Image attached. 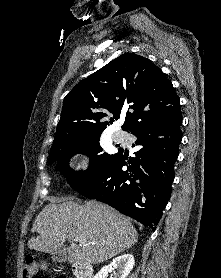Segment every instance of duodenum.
Wrapping results in <instances>:
<instances>
[{
  "label": "duodenum",
  "instance_id": "410a0bca",
  "mask_svg": "<svg viewBox=\"0 0 221 278\" xmlns=\"http://www.w3.org/2000/svg\"><path fill=\"white\" fill-rule=\"evenodd\" d=\"M72 272L75 278H93L91 266L82 262L73 264Z\"/></svg>",
  "mask_w": 221,
  "mask_h": 278
}]
</instances>
